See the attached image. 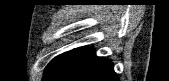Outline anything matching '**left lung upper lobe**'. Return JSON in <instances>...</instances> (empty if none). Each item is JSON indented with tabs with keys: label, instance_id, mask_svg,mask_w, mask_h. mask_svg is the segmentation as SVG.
Returning <instances> with one entry per match:
<instances>
[{
	"label": "left lung upper lobe",
	"instance_id": "obj_1",
	"mask_svg": "<svg viewBox=\"0 0 169 81\" xmlns=\"http://www.w3.org/2000/svg\"><path fill=\"white\" fill-rule=\"evenodd\" d=\"M61 55L55 57L46 67L45 69V72L49 71L53 66L54 64L58 61V59L60 58Z\"/></svg>",
	"mask_w": 169,
	"mask_h": 81
}]
</instances>
